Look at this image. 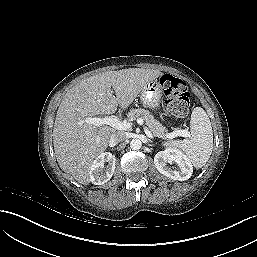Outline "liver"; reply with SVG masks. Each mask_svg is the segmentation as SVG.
Listing matches in <instances>:
<instances>
[{"label": "liver", "mask_w": 257, "mask_h": 257, "mask_svg": "<svg viewBox=\"0 0 257 257\" xmlns=\"http://www.w3.org/2000/svg\"><path fill=\"white\" fill-rule=\"evenodd\" d=\"M162 75L159 70L129 68L91 76L73 86L61 101L53 128L60 168L79 183L89 184L90 166L107 149L117 129L97 127L85 118L110 115L118 106L127 109L148 82Z\"/></svg>", "instance_id": "liver-1"}]
</instances>
